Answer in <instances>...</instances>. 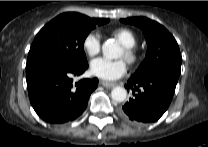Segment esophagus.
Here are the masks:
<instances>
[{"mask_svg":"<svg viewBox=\"0 0 208 147\" xmlns=\"http://www.w3.org/2000/svg\"><path fill=\"white\" fill-rule=\"evenodd\" d=\"M100 84L103 85L106 88H113L116 86V83H111V82H107V81H100Z\"/></svg>","mask_w":208,"mask_h":147,"instance_id":"34e87169","label":"esophagus"}]
</instances>
